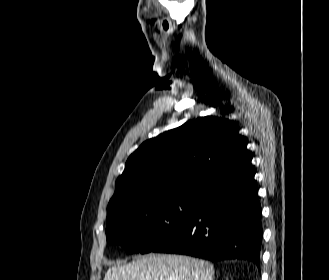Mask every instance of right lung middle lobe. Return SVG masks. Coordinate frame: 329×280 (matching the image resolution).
<instances>
[{
    "label": "right lung middle lobe",
    "mask_w": 329,
    "mask_h": 280,
    "mask_svg": "<svg viewBox=\"0 0 329 280\" xmlns=\"http://www.w3.org/2000/svg\"><path fill=\"white\" fill-rule=\"evenodd\" d=\"M200 197H144L107 208L106 236L128 253H148L170 239L197 209Z\"/></svg>",
    "instance_id": "1"
}]
</instances>
